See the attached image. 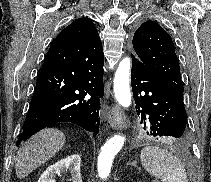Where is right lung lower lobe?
<instances>
[{
  "instance_id": "1",
  "label": "right lung lower lobe",
  "mask_w": 211,
  "mask_h": 182,
  "mask_svg": "<svg viewBox=\"0 0 211 182\" xmlns=\"http://www.w3.org/2000/svg\"><path fill=\"white\" fill-rule=\"evenodd\" d=\"M103 48L99 35L59 44L53 41L36 83L22 141L58 122L77 124L96 136L104 95Z\"/></svg>"
}]
</instances>
